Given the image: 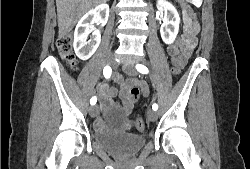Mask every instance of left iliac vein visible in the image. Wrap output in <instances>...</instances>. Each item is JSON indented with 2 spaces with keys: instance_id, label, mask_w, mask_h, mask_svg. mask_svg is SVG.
Here are the masks:
<instances>
[{
  "instance_id": "obj_1",
  "label": "left iliac vein",
  "mask_w": 250,
  "mask_h": 169,
  "mask_svg": "<svg viewBox=\"0 0 250 169\" xmlns=\"http://www.w3.org/2000/svg\"><path fill=\"white\" fill-rule=\"evenodd\" d=\"M134 64L135 63L132 61L130 63H127V64L123 65L124 72L131 75V76L137 75L138 73L134 68ZM147 116H148V119L150 121H155L157 119V113L154 110H151V109L147 111Z\"/></svg>"
}]
</instances>
